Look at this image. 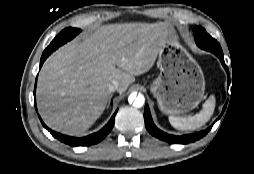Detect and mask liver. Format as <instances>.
I'll return each instance as SVG.
<instances>
[{
	"mask_svg": "<svg viewBox=\"0 0 254 174\" xmlns=\"http://www.w3.org/2000/svg\"><path fill=\"white\" fill-rule=\"evenodd\" d=\"M172 37L167 23H122L97 28L82 42L68 43L44 62L37 106L54 131L79 136L101 116L113 80L119 93L152 68L159 47Z\"/></svg>",
	"mask_w": 254,
	"mask_h": 174,
	"instance_id": "6515ba94",
	"label": "liver"
}]
</instances>
